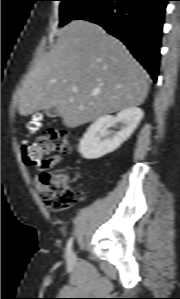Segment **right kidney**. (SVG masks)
Segmentation results:
<instances>
[{"instance_id":"ca27d5eb","label":"right kidney","mask_w":180,"mask_h":299,"mask_svg":"<svg viewBox=\"0 0 180 299\" xmlns=\"http://www.w3.org/2000/svg\"><path fill=\"white\" fill-rule=\"evenodd\" d=\"M143 111L138 107H130L120 111L116 116L104 115L90 125L79 144V153L85 159H97L116 150L137 128ZM118 122L124 127L111 135L108 128Z\"/></svg>"}]
</instances>
